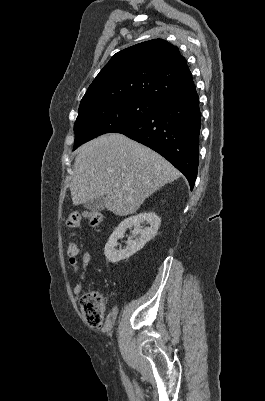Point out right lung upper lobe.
<instances>
[{
  "label": "right lung upper lobe",
  "instance_id": "1",
  "mask_svg": "<svg viewBox=\"0 0 265 401\" xmlns=\"http://www.w3.org/2000/svg\"><path fill=\"white\" fill-rule=\"evenodd\" d=\"M194 86L178 47L154 39L116 53L89 86L80 106L103 99L142 98L161 102Z\"/></svg>",
  "mask_w": 265,
  "mask_h": 401
}]
</instances>
